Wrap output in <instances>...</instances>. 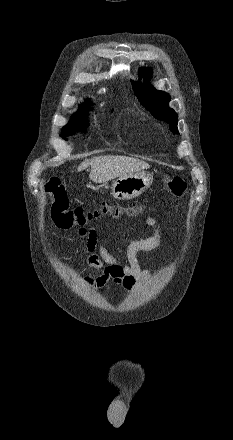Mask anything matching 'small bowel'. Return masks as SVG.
<instances>
[{"instance_id": "small-bowel-1", "label": "small bowel", "mask_w": 233, "mask_h": 440, "mask_svg": "<svg viewBox=\"0 0 233 440\" xmlns=\"http://www.w3.org/2000/svg\"><path fill=\"white\" fill-rule=\"evenodd\" d=\"M146 223L153 230V234L148 238L135 240L129 244L125 252L126 263L110 253L104 244L99 243L96 230L85 228L79 230V235L86 239L85 252L88 265L101 271L98 276H85L83 280L86 285L102 288L111 284V286H120L124 293L130 292L137 286L141 287L151 273L149 270L141 268L137 253L155 249L161 240L156 221L148 217Z\"/></svg>"}]
</instances>
